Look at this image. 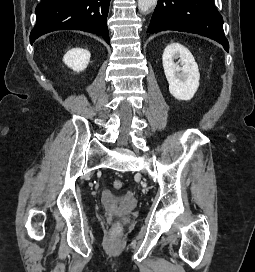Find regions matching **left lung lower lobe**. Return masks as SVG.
I'll use <instances>...</instances> for the list:
<instances>
[{"mask_svg":"<svg viewBox=\"0 0 255 272\" xmlns=\"http://www.w3.org/2000/svg\"><path fill=\"white\" fill-rule=\"evenodd\" d=\"M165 30L190 32L206 36L229 50L223 32V18L214 0H158L148 33Z\"/></svg>","mask_w":255,"mask_h":272,"instance_id":"0a47b994","label":"left lung lower lobe"}]
</instances>
